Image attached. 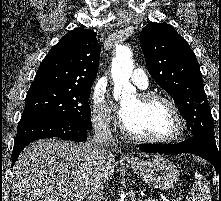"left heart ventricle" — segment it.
<instances>
[{"instance_id": "1", "label": "left heart ventricle", "mask_w": 221, "mask_h": 201, "mask_svg": "<svg viewBox=\"0 0 221 201\" xmlns=\"http://www.w3.org/2000/svg\"><path fill=\"white\" fill-rule=\"evenodd\" d=\"M125 125L134 133L164 138L176 131V120L168 106L159 100L141 102L132 97L123 102Z\"/></svg>"}]
</instances>
